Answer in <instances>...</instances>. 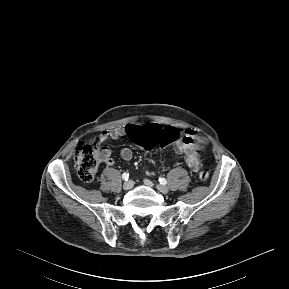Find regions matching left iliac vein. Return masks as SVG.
Masks as SVG:
<instances>
[{
    "label": "left iliac vein",
    "mask_w": 289,
    "mask_h": 289,
    "mask_svg": "<svg viewBox=\"0 0 289 289\" xmlns=\"http://www.w3.org/2000/svg\"><path fill=\"white\" fill-rule=\"evenodd\" d=\"M144 183H145L147 186H149V187H153V186H154L153 182L150 181V180H148V179H145V180H144ZM156 188H157L158 191H160V192L163 193V194H167V193L169 192V189H168L166 186L161 185V184H157V185H156Z\"/></svg>",
    "instance_id": "left-iliac-vein-1"
}]
</instances>
